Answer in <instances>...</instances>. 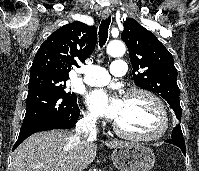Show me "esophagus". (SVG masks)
Here are the masks:
<instances>
[{
	"label": "esophagus",
	"instance_id": "esophagus-1",
	"mask_svg": "<svg viewBox=\"0 0 199 171\" xmlns=\"http://www.w3.org/2000/svg\"><path fill=\"white\" fill-rule=\"evenodd\" d=\"M110 11H108V10H105V11H103L102 12V17L105 19V18H108L109 17V15H110Z\"/></svg>",
	"mask_w": 199,
	"mask_h": 171
}]
</instances>
